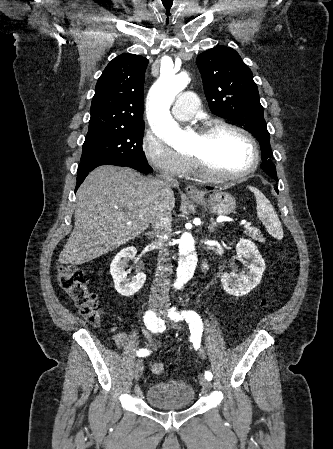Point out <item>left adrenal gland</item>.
<instances>
[{"label":"left adrenal gland","instance_id":"obj_1","mask_svg":"<svg viewBox=\"0 0 333 449\" xmlns=\"http://www.w3.org/2000/svg\"><path fill=\"white\" fill-rule=\"evenodd\" d=\"M217 226V223L214 219H211V224L209 225L210 232H214L215 227Z\"/></svg>","mask_w":333,"mask_h":449}]
</instances>
